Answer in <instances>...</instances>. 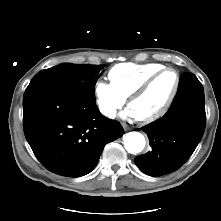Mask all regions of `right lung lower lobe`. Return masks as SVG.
Returning <instances> with one entry per match:
<instances>
[{"mask_svg": "<svg viewBox=\"0 0 221 221\" xmlns=\"http://www.w3.org/2000/svg\"><path fill=\"white\" fill-rule=\"evenodd\" d=\"M25 137L38 160L50 171L80 177L96 166L104 146L124 134L119 122L87 99L47 91L25 92Z\"/></svg>", "mask_w": 221, "mask_h": 221, "instance_id": "right-lung-lower-lobe-1", "label": "right lung lower lobe"}]
</instances>
